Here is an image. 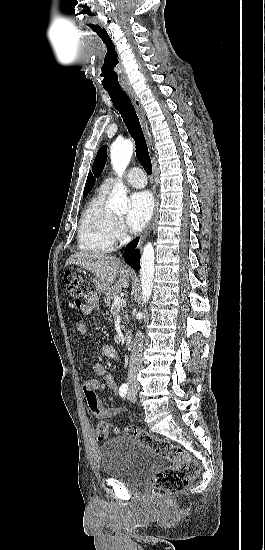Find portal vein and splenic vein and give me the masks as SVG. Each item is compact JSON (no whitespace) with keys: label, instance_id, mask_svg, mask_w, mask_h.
Returning <instances> with one entry per match:
<instances>
[{"label":"portal vein and splenic vein","instance_id":"obj_1","mask_svg":"<svg viewBox=\"0 0 265 550\" xmlns=\"http://www.w3.org/2000/svg\"><path fill=\"white\" fill-rule=\"evenodd\" d=\"M124 303H125V300L122 299L121 297H115L113 300V306L115 307H121L122 305H124Z\"/></svg>","mask_w":265,"mask_h":550}]
</instances>
